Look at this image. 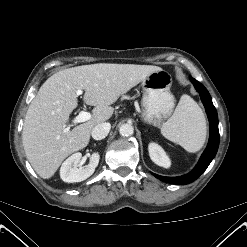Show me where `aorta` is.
<instances>
[{"instance_id": "obj_1", "label": "aorta", "mask_w": 247, "mask_h": 247, "mask_svg": "<svg viewBox=\"0 0 247 247\" xmlns=\"http://www.w3.org/2000/svg\"><path fill=\"white\" fill-rule=\"evenodd\" d=\"M119 133L122 136H131L134 133V128L130 124H123L120 126Z\"/></svg>"}]
</instances>
